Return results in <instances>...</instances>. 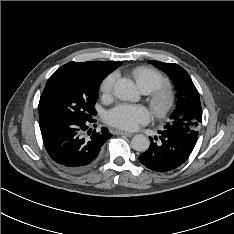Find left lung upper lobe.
<instances>
[{
  "instance_id": "5c2ea615",
  "label": "left lung upper lobe",
  "mask_w": 234,
  "mask_h": 234,
  "mask_svg": "<svg viewBox=\"0 0 234 234\" xmlns=\"http://www.w3.org/2000/svg\"><path fill=\"white\" fill-rule=\"evenodd\" d=\"M174 81L178 91V105L171 121L164 128L185 134L190 140L197 142L199 126L202 122V108L199 93L188 73L174 63L149 61Z\"/></svg>"
}]
</instances>
